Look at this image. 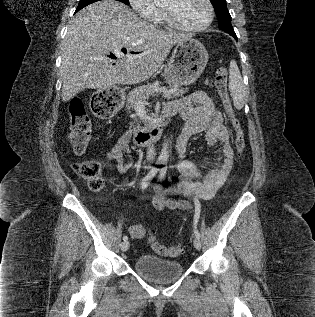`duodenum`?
Listing matches in <instances>:
<instances>
[{"instance_id": "obj_1", "label": "duodenum", "mask_w": 315, "mask_h": 317, "mask_svg": "<svg viewBox=\"0 0 315 317\" xmlns=\"http://www.w3.org/2000/svg\"><path fill=\"white\" fill-rule=\"evenodd\" d=\"M175 114L174 111L163 109L161 114L154 120L149 122L145 127L138 130L133 137V142L136 146L143 147L156 139H158L163 132L164 125Z\"/></svg>"}]
</instances>
